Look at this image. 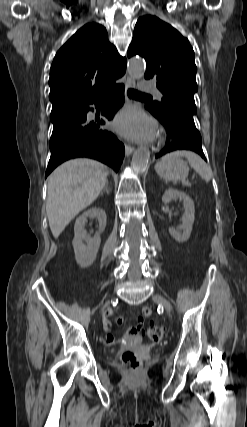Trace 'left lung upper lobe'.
Here are the masks:
<instances>
[{"instance_id": "obj_1", "label": "left lung upper lobe", "mask_w": 247, "mask_h": 427, "mask_svg": "<svg viewBox=\"0 0 247 427\" xmlns=\"http://www.w3.org/2000/svg\"><path fill=\"white\" fill-rule=\"evenodd\" d=\"M127 55L142 56L147 64L145 79L157 81L162 101L146 104L155 115L163 116L173 110L196 114L197 68L188 39L159 18L143 16L135 25Z\"/></svg>"}]
</instances>
